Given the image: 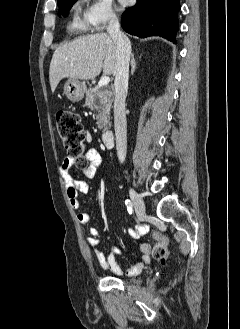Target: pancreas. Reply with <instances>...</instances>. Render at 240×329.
<instances>
[{"instance_id":"cf45deb5","label":"pancreas","mask_w":240,"mask_h":329,"mask_svg":"<svg viewBox=\"0 0 240 329\" xmlns=\"http://www.w3.org/2000/svg\"><path fill=\"white\" fill-rule=\"evenodd\" d=\"M112 91L107 87H90L86 91L85 104L96 111L98 128L106 132L110 127V110L112 107Z\"/></svg>"}]
</instances>
